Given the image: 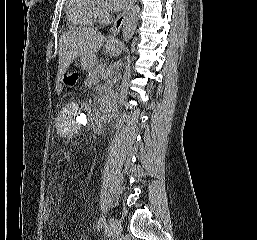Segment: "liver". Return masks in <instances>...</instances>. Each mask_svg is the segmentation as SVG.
Here are the masks:
<instances>
[{
	"instance_id": "liver-1",
	"label": "liver",
	"mask_w": 257,
	"mask_h": 240,
	"mask_svg": "<svg viewBox=\"0 0 257 240\" xmlns=\"http://www.w3.org/2000/svg\"><path fill=\"white\" fill-rule=\"evenodd\" d=\"M105 36L94 28H79L63 33L59 39V65L56 86L77 57L94 58L102 47ZM60 91V90H58Z\"/></svg>"
}]
</instances>
